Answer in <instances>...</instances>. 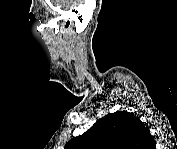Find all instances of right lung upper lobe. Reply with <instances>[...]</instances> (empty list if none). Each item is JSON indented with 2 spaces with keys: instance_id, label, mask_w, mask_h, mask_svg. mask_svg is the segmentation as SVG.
<instances>
[{
  "instance_id": "obj_1",
  "label": "right lung upper lobe",
  "mask_w": 177,
  "mask_h": 149,
  "mask_svg": "<svg viewBox=\"0 0 177 149\" xmlns=\"http://www.w3.org/2000/svg\"><path fill=\"white\" fill-rule=\"evenodd\" d=\"M149 131L133 113H109L85 133L71 139L65 149H151ZM155 142V141H154Z\"/></svg>"
}]
</instances>
